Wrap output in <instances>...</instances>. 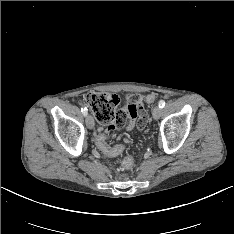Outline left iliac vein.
<instances>
[{
    "label": "left iliac vein",
    "instance_id": "left-iliac-vein-1",
    "mask_svg": "<svg viewBox=\"0 0 234 234\" xmlns=\"http://www.w3.org/2000/svg\"><path fill=\"white\" fill-rule=\"evenodd\" d=\"M161 114H162L161 108L159 106H155L153 111H152L153 118L155 120H158L160 118Z\"/></svg>",
    "mask_w": 234,
    "mask_h": 234
}]
</instances>
